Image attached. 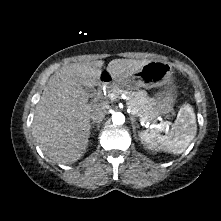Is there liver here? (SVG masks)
I'll use <instances>...</instances> for the list:
<instances>
[{
    "label": "liver",
    "instance_id": "liver-1",
    "mask_svg": "<svg viewBox=\"0 0 221 221\" xmlns=\"http://www.w3.org/2000/svg\"><path fill=\"white\" fill-rule=\"evenodd\" d=\"M147 60L114 59L107 66L112 81L124 85ZM104 61L73 63L56 71L47 82L35 107L32 135L53 162L72 164L86 152L90 137V114L85 87L101 82Z\"/></svg>",
    "mask_w": 221,
    "mask_h": 221
}]
</instances>
